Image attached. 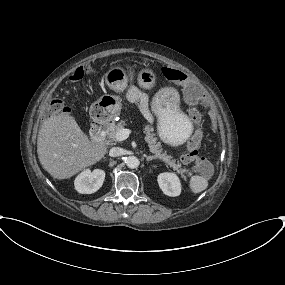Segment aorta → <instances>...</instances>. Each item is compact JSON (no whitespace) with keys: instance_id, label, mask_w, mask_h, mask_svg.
Listing matches in <instances>:
<instances>
[{"instance_id":"762f6f07","label":"aorta","mask_w":285,"mask_h":285,"mask_svg":"<svg viewBox=\"0 0 285 285\" xmlns=\"http://www.w3.org/2000/svg\"><path fill=\"white\" fill-rule=\"evenodd\" d=\"M126 165L131 169L137 168L139 165V160L135 156H129L126 159Z\"/></svg>"}]
</instances>
